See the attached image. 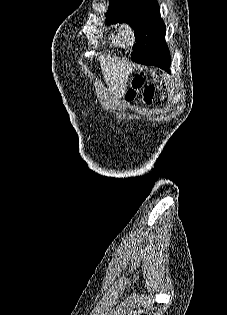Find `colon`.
Here are the masks:
<instances>
[{
  "mask_svg": "<svg viewBox=\"0 0 227 315\" xmlns=\"http://www.w3.org/2000/svg\"><path fill=\"white\" fill-rule=\"evenodd\" d=\"M139 90H143L144 102L150 103L155 94V86L152 83L146 84L145 74L143 72L136 73L131 78L129 87L126 91V98L128 100H133Z\"/></svg>",
  "mask_w": 227,
  "mask_h": 315,
  "instance_id": "obj_1",
  "label": "colon"
}]
</instances>
